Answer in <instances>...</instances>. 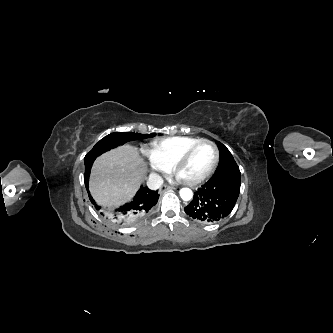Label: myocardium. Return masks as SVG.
I'll return each instance as SVG.
<instances>
[{"instance_id":"f54148a6","label":"myocardium","mask_w":333,"mask_h":333,"mask_svg":"<svg viewBox=\"0 0 333 333\" xmlns=\"http://www.w3.org/2000/svg\"><path fill=\"white\" fill-rule=\"evenodd\" d=\"M202 144H209L211 145L214 150H215V160L214 163L212 164L211 168L202 176L192 179V180H184L182 179V181L190 186H194V185H198L200 183H202L203 181H205L206 179H208L217 169L218 164L220 162V151L219 148L217 147V145L208 139H201L199 141H197L196 143H194L193 145H191L190 147H188L175 161L173 167H172V171L175 174L176 177H179V172L181 170V168L186 164V162L188 161L189 157L191 156L192 152L200 145Z\"/></svg>"}]
</instances>
